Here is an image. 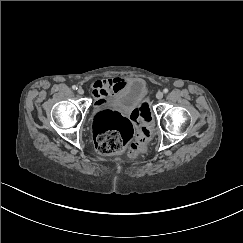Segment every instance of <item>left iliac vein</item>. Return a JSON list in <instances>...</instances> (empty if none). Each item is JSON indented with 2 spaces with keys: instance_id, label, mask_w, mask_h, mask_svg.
I'll list each match as a JSON object with an SVG mask.
<instances>
[{
  "instance_id": "4c4485c4",
  "label": "left iliac vein",
  "mask_w": 243,
  "mask_h": 243,
  "mask_svg": "<svg viewBox=\"0 0 243 243\" xmlns=\"http://www.w3.org/2000/svg\"><path fill=\"white\" fill-rule=\"evenodd\" d=\"M156 98H157L158 100L162 99V98H163V92L158 91V92L156 93Z\"/></svg>"
}]
</instances>
